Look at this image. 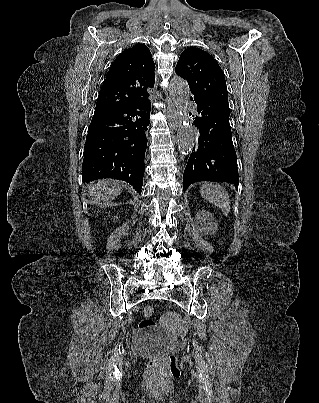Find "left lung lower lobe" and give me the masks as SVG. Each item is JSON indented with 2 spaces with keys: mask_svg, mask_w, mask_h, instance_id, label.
Listing matches in <instances>:
<instances>
[{
  "mask_svg": "<svg viewBox=\"0 0 319 403\" xmlns=\"http://www.w3.org/2000/svg\"><path fill=\"white\" fill-rule=\"evenodd\" d=\"M198 108L194 124L199 137L183 175V189L198 181H217L238 188L237 156L231 137L228 100L192 95Z\"/></svg>",
  "mask_w": 319,
  "mask_h": 403,
  "instance_id": "1",
  "label": "left lung lower lobe"
}]
</instances>
